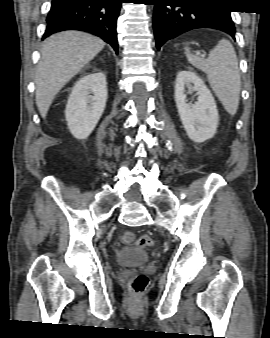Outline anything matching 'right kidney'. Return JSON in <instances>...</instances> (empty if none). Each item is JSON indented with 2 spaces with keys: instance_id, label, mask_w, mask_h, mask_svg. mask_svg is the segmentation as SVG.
<instances>
[{
  "instance_id": "obj_1",
  "label": "right kidney",
  "mask_w": 270,
  "mask_h": 338,
  "mask_svg": "<svg viewBox=\"0 0 270 338\" xmlns=\"http://www.w3.org/2000/svg\"><path fill=\"white\" fill-rule=\"evenodd\" d=\"M106 101L104 73L88 74L77 81L65 109L68 128L75 138L86 139L91 134L105 110Z\"/></svg>"
}]
</instances>
